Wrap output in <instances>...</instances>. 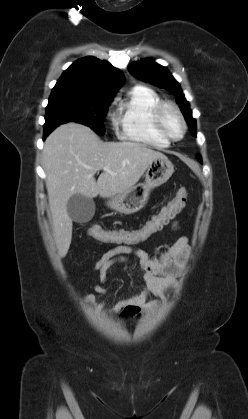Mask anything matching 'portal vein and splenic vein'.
<instances>
[{"instance_id":"1","label":"portal vein and splenic vein","mask_w":248,"mask_h":419,"mask_svg":"<svg viewBox=\"0 0 248 419\" xmlns=\"http://www.w3.org/2000/svg\"><path fill=\"white\" fill-rule=\"evenodd\" d=\"M103 170L110 174H114L108 167H103Z\"/></svg>"}]
</instances>
